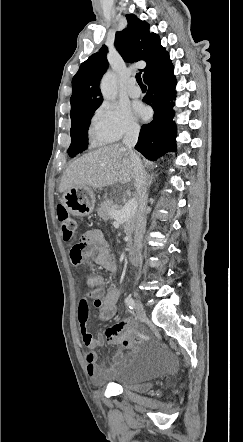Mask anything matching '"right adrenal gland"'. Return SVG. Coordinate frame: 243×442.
<instances>
[{
	"instance_id": "right-adrenal-gland-1",
	"label": "right adrenal gland",
	"mask_w": 243,
	"mask_h": 442,
	"mask_svg": "<svg viewBox=\"0 0 243 442\" xmlns=\"http://www.w3.org/2000/svg\"><path fill=\"white\" fill-rule=\"evenodd\" d=\"M152 180H153V175H149L146 173V181H147L148 188L151 186Z\"/></svg>"
}]
</instances>
